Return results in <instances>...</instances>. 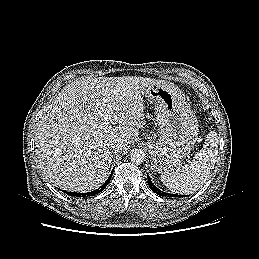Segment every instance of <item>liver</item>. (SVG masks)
<instances>
[{"instance_id": "1", "label": "liver", "mask_w": 259, "mask_h": 259, "mask_svg": "<svg viewBox=\"0 0 259 259\" xmlns=\"http://www.w3.org/2000/svg\"><path fill=\"white\" fill-rule=\"evenodd\" d=\"M155 79L99 77L66 85L43 112L35 130L43 175L75 192L97 189L112 162V143L127 151L144 128L143 96ZM117 126H106L104 121Z\"/></svg>"}]
</instances>
